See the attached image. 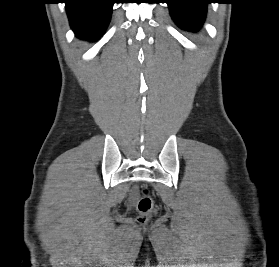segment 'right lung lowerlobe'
<instances>
[{
	"label": "right lung lower lobe",
	"instance_id": "obj_1",
	"mask_svg": "<svg viewBox=\"0 0 279 267\" xmlns=\"http://www.w3.org/2000/svg\"><path fill=\"white\" fill-rule=\"evenodd\" d=\"M114 0H65L72 29L81 39L103 33L111 17Z\"/></svg>",
	"mask_w": 279,
	"mask_h": 267
}]
</instances>
